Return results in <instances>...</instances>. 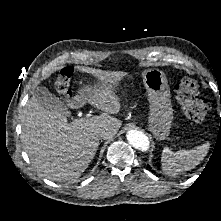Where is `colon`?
Returning <instances> with one entry per match:
<instances>
[{"label": "colon", "mask_w": 221, "mask_h": 221, "mask_svg": "<svg viewBox=\"0 0 221 221\" xmlns=\"http://www.w3.org/2000/svg\"><path fill=\"white\" fill-rule=\"evenodd\" d=\"M73 71L71 66H66L60 72L55 83V89L59 95L67 96L69 94ZM175 93L188 119L194 122H202L205 120L211 110V104L208 100L199 98L198 84L195 80L188 77L182 78L175 86Z\"/></svg>", "instance_id": "1"}]
</instances>
